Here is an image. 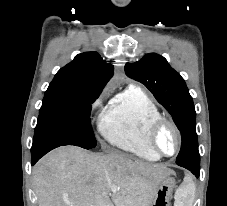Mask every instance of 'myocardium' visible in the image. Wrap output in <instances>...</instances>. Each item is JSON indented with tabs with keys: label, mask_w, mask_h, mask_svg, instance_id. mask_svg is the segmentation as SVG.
Here are the masks:
<instances>
[{
	"label": "myocardium",
	"mask_w": 227,
	"mask_h": 206,
	"mask_svg": "<svg viewBox=\"0 0 227 206\" xmlns=\"http://www.w3.org/2000/svg\"><path fill=\"white\" fill-rule=\"evenodd\" d=\"M164 126H169L173 132L175 133L176 139H177V146L175 151L172 154H164L157 146V134L161 130L162 127ZM146 140L149 148L157 154L159 157H173L177 155L181 149L182 145V137H181V132L178 128V126L175 124L174 121L171 119L164 117V116H159L156 119H154L150 125L148 126L147 133H146Z\"/></svg>",
	"instance_id": "obj_1"
}]
</instances>
